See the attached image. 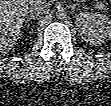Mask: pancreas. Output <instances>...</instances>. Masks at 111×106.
I'll return each mask as SVG.
<instances>
[{"mask_svg": "<svg viewBox=\"0 0 111 106\" xmlns=\"http://www.w3.org/2000/svg\"><path fill=\"white\" fill-rule=\"evenodd\" d=\"M104 1H94L93 6L99 10H106V6L104 5Z\"/></svg>", "mask_w": 111, "mask_h": 106, "instance_id": "pancreas-1", "label": "pancreas"}]
</instances>
